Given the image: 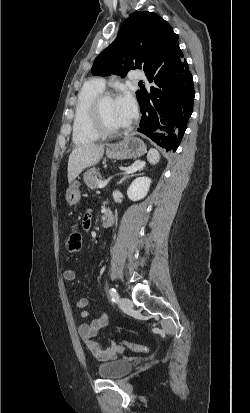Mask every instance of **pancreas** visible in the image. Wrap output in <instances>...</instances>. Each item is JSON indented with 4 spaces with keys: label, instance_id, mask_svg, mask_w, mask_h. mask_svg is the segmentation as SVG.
Wrapping results in <instances>:
<instances>
[{
    "label": "pancreas",
    "instance_id": "obj_1",
    "mask_svg": "<svg viewBox=\"0 0 250 413\" xmlns=\"http://www.w3.org/2000/svg\"><path fill=\"white\" fill-rule=\"evenodd\" d=\"M83 178H84L85 184L91 189L97 188L99 182L101 181V175L98 169H95V168H91L87 170Z\"/></svg>",
    "mask_w": 250,
    "mask_h": 413
}]
</instances>
